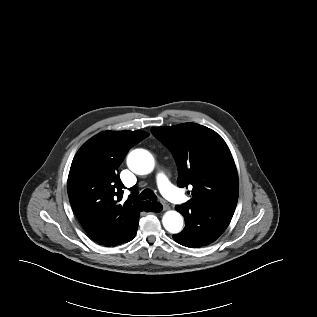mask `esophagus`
Instances as JSON below:
<instances>
[{
    "label": "esophagus",
    "mask_w": 317,
    "mask_h": 317,
    "mask_svg": "<svg viewBox=\"0 0 317 317\" xmlns=\"http://www.w3.org/2000/svg\"><path fill=\"white\" fill-rule=\"evenodd\" d=\"M163 204V210H169L170 209V207H169V205L168 204H166V203H162Z\"/></svg>",
    "instance_id": "34e87169"
}]
</instances>
